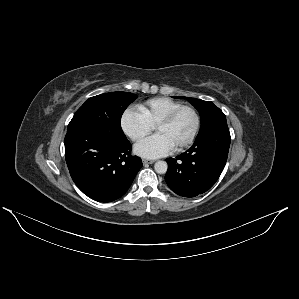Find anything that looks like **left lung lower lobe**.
Wrapping results in <instances>:
<instances>
[{"mask_svg":"<svg viewBox=\"0 0 299 299\" xmlns=\"http://www.w3.org/2000/svg\"><path fill=\"white\" fill-rule=\"evenodd\" d=\"M228 128L216 129L197 138L186 152L167 158L165 181L176 194L195 197L209 190L221 175L230 146Z\"/></svg>","mask_w":299,"mask_h":299,"instance_id":"1","label":"left lung lower lobe"}]
</instances>
